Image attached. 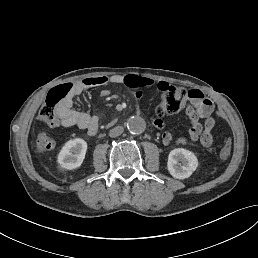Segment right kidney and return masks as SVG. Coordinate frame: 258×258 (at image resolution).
I'll list each match as a JSON object with an SVG mask.
<instances>
[{"instance_id": "obj_1", "label": "right kidney", "mask_w": 258, "mask_h": 258, "mask_svg": "<svg viewBox=\"0 0 258 258\" xmlns=\"http://www.w3.org/2000/svg\"><path fill=\"white\" fill-rule=\"evenodd\" d=\"M87 144L82 139L68 141L59 154L58 162L67 169H73L81 165Z\"/></svg>"}]
</instances>
